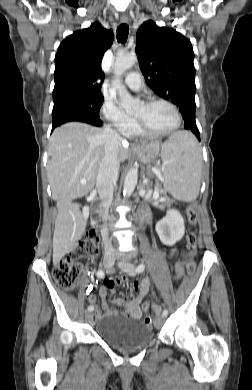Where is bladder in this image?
Segmentation results:
<instances>
[{"instance_id": "bladder-1", "label": "bladder", "mask_w": 252, "mask_h": 390, "mask_svg": "<svg viewBox=\"0 0 252 390\" xmlns=\"http://www.w3.org/2000/svg\"><path fill=\"white\" fill-rule=\"evenodd\" d=\"M95 333L106 344L125 352L144 348L154 338L150 326L126 318H102L96 323Z\"/></svg>"}]
</instances>
